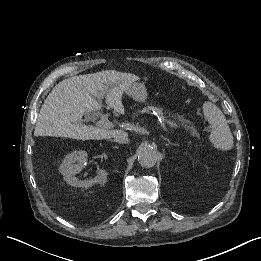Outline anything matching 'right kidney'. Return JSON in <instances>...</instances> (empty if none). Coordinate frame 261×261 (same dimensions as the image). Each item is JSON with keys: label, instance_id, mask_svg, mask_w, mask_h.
Segmentation results:
<instances>
[{"label": "right kidney", "instance_id": "ca27d5eb", "mask_svg": "<svg viewBox=\"0 0 261 261\" xmlns=\"http://www.w3.org/2000/svg\"><path fill=\"white\" fill-rule=\"evenodd\" d=\"M87 159V153L85 151H78L69 154L65 157L64 161L59 167L60 173L63 175L64 180L71 186L89 188L95 183H104L107 179V172L105 170H99L97 176L89 180H78L74 175L79 172L80 165H74L73 163L78 160L85 162Z\"/></svg>", "mask_w": 261, "mask_h": 261}]
</instances>
